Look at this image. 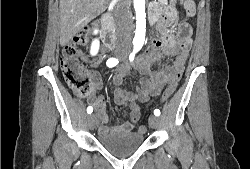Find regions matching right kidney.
I'll list each match as a JSON object with an SVG mask.
<instances>
[{
  "mask_svg": "<svg viewBox=\"0 0 250 169\" xmlns=\"http://www.w3.org/2000/svg\"><path fill=\"white\" fill-rule=\"evenodd\" d=\"M93 32H94V34H98V32H99L98 28H94ZM99 46H100V42H99L98 38H93L92 44L90 46L91 56H95V54H98Z\"/></svg>",
  "mask_w": 250,
  "mask_h": 169,
  "instance_id": "right-kidney-1",
  "label": "right kidney"
}]
</instances>
